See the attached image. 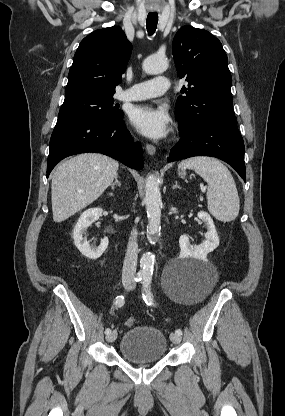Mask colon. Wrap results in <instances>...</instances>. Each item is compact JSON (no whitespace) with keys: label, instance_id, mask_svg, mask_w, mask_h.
Masks as SVG:
<instances>
[{"label":"colon","instance_id":"5ec220e1","mask_svg":"<svg viewBox=\"0 0 285 416\" xmlns=\"http://www.w3.org/2000/svg\"><path fill=\"white\" fill-rule=\"evenodd\" d=\"M136 320L133 317H130L128 319H126V321L124 322L125 326L127 327H132L135 324Z\"/></svg>","mask_w":285,"mask_h":416}]
</instances>
